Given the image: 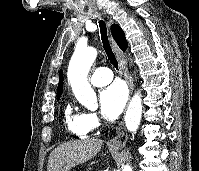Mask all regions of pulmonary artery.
Segmentation results:
<instances>
[{"label": "pulmonary artery", "mask_w": 199, "mask_h": 171, "mask_svg": "<svg viewBox=\"0 0 199 171\" xmlns=\"http://www.w3.org/2000/svg\"><path fill=\"white\" fill-rule=\"evenodd\" d=\"M113 74L106 67L98 68L90 77V82L94 86H104L111 82Z\"/></svg>", "instance_id": "obj_1"}]
</instances>
